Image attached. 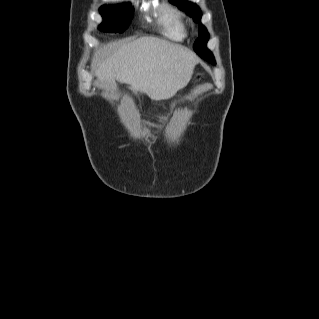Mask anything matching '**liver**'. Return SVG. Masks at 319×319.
I'll return each mask as SVG.
<instances>
[{"mask_svg":"<svg viewBox=\"0 0 319 319\" xmlns=\"http://www.w3.org/2000/svg\"><path fill=\"white\" fill-rule=\"evenodd\" d=\"M105 50L102 59L100 51L93 58L99 83L107 87L116 79L156 101L169 99L184 88L199 61L189 49L157 37L112 43Z\"/></svg>","mask_w":319,"mask_h":319,"instance_id":"6515ba94","label":"liver"}]
</instances>
